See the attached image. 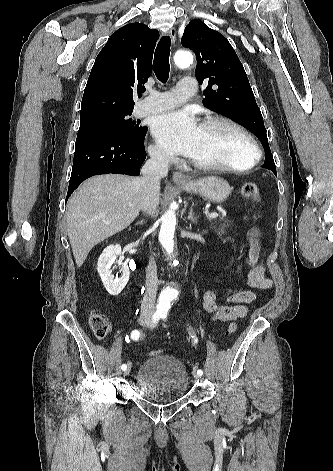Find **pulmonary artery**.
Masks as SVG:
<instances>
[{
    "mask_svg": "<svg viewBox=\"0 0 333 471\" xmlns=\"http://www.w3.org/2000/svg\"><path fill=\"white\" fill-rule=\"evenodd\" d=\"M195 90V80L189 77L183 78L172 91L151 93L139 104L137 113L145 116L166 111L193 96Z\"/></svg>",
    "mask_w": 333,
    "mask_h": 471,
    "instance_id": "e3ab8cb5",
    "label": "pulmonary artery"
}]
</instances>
